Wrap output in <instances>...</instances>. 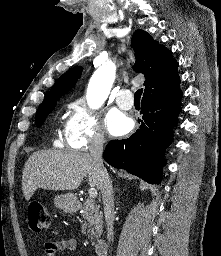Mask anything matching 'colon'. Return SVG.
<instances>
[{
	"label": "colon",
	"mask_w": 221,
	"mask_h": 256,
	"mask_svg": "<svg viewBox=\"0 0 221 256\" xmlns=\"http://www.w3.org/2000/svg\"><path fill=\"white\" fill-rule=\"evenodd\" d=\"M28 224L31 231L39 233L46 231L51 226V218L44 205L32 201L28 205Z\"/></svg>",
	"instance_id": "5ec220e1"
}]
</instances>
